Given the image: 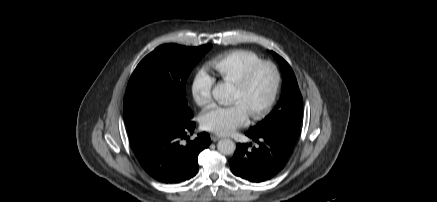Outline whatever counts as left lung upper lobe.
<instances>
[{"instance_id": "obj_1", "label": "left lung upper lobe", "mask_w": 437, "mask_h": 202, "mask_svg": "<svg viewBox=\"0 0 437 202\" xmlns=\"http://www.w3.org/2000/svg\"><path fill=\"white\" fill-rule=\"evenodd\" d=\"M271 53L278 61L284 76L281 97L271 113L249 131L273 134L293 145L302 118V95L290 65L275 52Z\"/></svg>"}]
</instances>
